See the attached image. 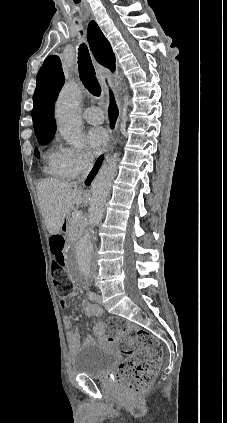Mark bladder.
I'll return each mask as SVG.
<instances>
[{
    "label": "bladder",
    "mask_w": 227,
    "mask_h": 423,
    "mask_svg": "<svg viewBox=\"0 0 227 423\" xmlns=\"http://www.w3.org/2000/svg\"><path fill=\"white\" fill-rule=\"evenodd\" d=\"M119 360L116 353L104 350L97 343H90L81 346L73 357L72 371L94 380H103L111 375Z\"/></svg>",
    "instance_id": "bladder-1"
}]
</instances>
